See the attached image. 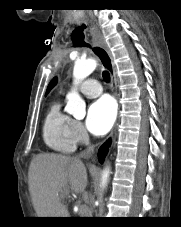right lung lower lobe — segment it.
I'll return each instance as SVG.
<instances>
[{"mask_svg": "<svg viewBox=\"0 0 181 227\" xmlns=\"http://www.w3.org/2000/svg\"><path fill=\"white\" fill-rule=\"evenodd\" d=\"M110 144V142H107L106 144H104L101 148H100V150H99V161L100 162H103V160H104V157H105V155H106V153H107V151H108V145Z\"/></svg>", "mask_w": 181, "mask_h": 227, "instance_id": "98d812e1", "label": "right lung lower lobe"}]
</instances>
